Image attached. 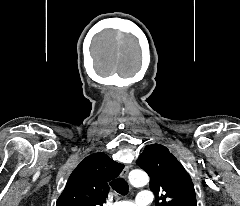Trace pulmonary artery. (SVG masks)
<instances>
[{"mask_svg":"<svg viewBox=\"0 0 240 206\" xmlns=\"http://www.w3.org/2000/svg\"><path fill=\"white\" fill-rule=\"evenodd\" d=\"M151 203V193L149 191H140L135 201H118L113 206H148Z\"/></svg>","mask_w":240,"mask_h":206,"instance_id":"obj_1","label":"pulmonary artery"}]
</instances>
